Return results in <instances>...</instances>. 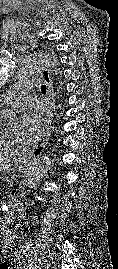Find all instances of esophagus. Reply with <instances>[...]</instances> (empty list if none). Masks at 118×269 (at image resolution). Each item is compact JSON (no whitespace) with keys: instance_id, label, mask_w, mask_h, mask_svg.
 <instances>
[{"instance_id":"1","label":"esophagus","mask_w":118,"mask_h":269,"mask_svg":"<svg viewBox=\"0 0 118 269\" xmlns=\"http://www.w3.org/2000/svg\"><path fill=\"white\" fill-rule=\"evenodd\" d=\"M41 77L43 79V81L46 84V96H47V100L49 101V122L48 125L46 127V132L43 138L42 143L34 148L32 151H30L27 155H24L23 157H21L20 159L22 161H26V160H32V159H36L38 158L42 152L44 151L48 139L51 135V132L53 130V126H52V122L54 119V111H55V94H54V89H53V80L51 77V72L48 69H43L41 71Z\"/></svg>"}]
</instances>
